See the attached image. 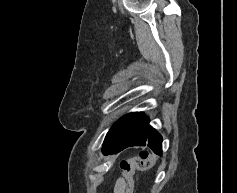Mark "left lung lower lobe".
<instances>
[{
  "instance_id": "1",
  "label": "left lung lower lobe",
  "mask_w": 237,
  "mask_h": 193,
  "mask_svg": "<svg viewBox=\"0 0 237 193\" xmlns=\"http://www.w3.org/2000/svg\"><path fill=\"white\" fill-rule=\"evenodd\" d=\"M130 146H148L157 155H162V137L149 125V118L142 112H134L118 141L102 149L104 154H113Z\"/></svg>"
}]
</instances>
